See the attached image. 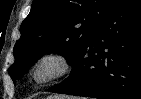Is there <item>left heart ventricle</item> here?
<instances>
[{"mask_svg":"<svg viewBox=\"0 0 141 99\" xmlns=\"http://www.w3.org/2000/svg\"><path fill=\"white\" fill-rule=\"evenodd\" d=\"M57 65L52 62L44 63L37 71V78L45 79L57 71Z\"/></svg>","mask_w":141,"mask_h":99,"instance_id":"obj_1","label":"left heart ventricle"}]
</instances>
